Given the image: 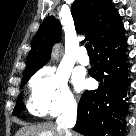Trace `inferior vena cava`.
I'll return each instance as SVG.
<instances>
[{"instance_id":"1","label":"inferior vena cava","mask_w":136,"mask_h":136,"mask_svg":"<svg viewBox=\"0 0 136 136\" xmlns=\"http://www.w3.org/2000/svg\"><path fill=\"white\" fill-rule=\"evenodd\" d=\"M76 116H77V105L76 104H69L64 109L63 113L58 117L57 129L64 133V136H71L69 128L74 127L76 123Z\"/></svg>"}]
</instances>
